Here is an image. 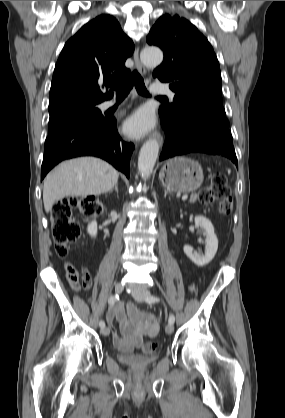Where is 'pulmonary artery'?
<instances>
[{
	"instance_id": "e3ab8cb5",
	"label": "pulmonary artery",
	"mask_w": 285,
	"mask_h": 418,
	"mask_svg": "<svg viewBox=\"0 0 285 418\" xmlns=\"http://www.w3.org/2000/svg\"><path fill=\"white\" fill-rule=\"evenodd\" d=\"M152 92L154 93H160V94H165L168 95L170 97H174L175 93L167 86L164 85H155L153 87ZM123 103H116L114 100H107L103 103V108L104 109H109L112 107H120Z\"/></svg>"
}]
</instances>
